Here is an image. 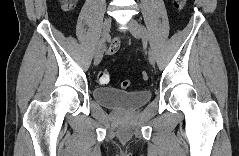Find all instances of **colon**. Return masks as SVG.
I'll return each mask as SVG.
<instances>
[{"label":"colon","mask_w":239,"mask_h":156,"mask_svg":"<svg viewBox=\"0 0 239 156\" xmlns=\"http://www.w3.org/2000/svg\"><path fill=\"white\" fill-rule=\"evenodd\" d=\"M176 4H177L178 8H182L183 5L185 4V0H177ZM63 7L65 10H71L74 7V3L71 1L65 2ZM141 78H142V80L146 81L148 79L147 73L143 72L141 74ZM109 79H110L109 72L106 69H103L99 72V74H98V82L99 83L106 84L109 82ZM130 85H131V82L128 80H125L121 83V87L123 89L129 88Z\"/></svg>","instance_id":"1"}]
</instances>
